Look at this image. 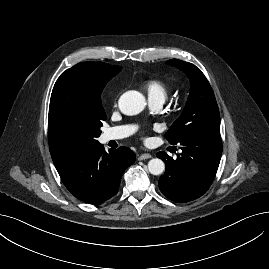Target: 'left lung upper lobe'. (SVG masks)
<instances>
[{"label":"left lung upper lobe","mask_w":269,"mask_h":269,"mask_svg":"<svg viewBox=\"0 0 269 269\" xmlns=\"http://www.w3.org/2000/svg\"><path fill=\"white\" fill-rule=\"evenodd\" d=\"M168 64L179 68L188 76L191 88L182 114L165 133V138L173 145H181L198 134H220L217 102L204 74L195 65L178 59H171Z\"/></svg>","instance_id":"obj_1"}]
</instances>
